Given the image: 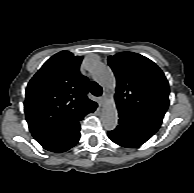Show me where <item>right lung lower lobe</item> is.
I'll return each instance as SVG.
<instances>
[{
  "mask_svg": "<svg viewBox=\"0 0 194 193\" xmlns=\"http://www.w3.org/2000/svg\"><path fill=\"white\" fill-rule=\"evenodd\" d=\"M97 105L77 117L52 129L33 133V137L46 150L65 152L77 144L80 138V121L90 112L95 111Z\"/></svg>",
  "mask_w": 194,
  "mask_h": 193,
  "instance_id": "obj_1",
  "label": "right lung lower lobe"
}]
</instances>
